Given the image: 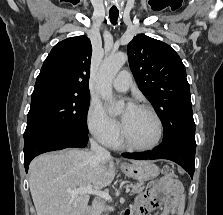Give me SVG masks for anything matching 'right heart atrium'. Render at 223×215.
<instances>
[{
	"instance_id": "1",
	"label": "right heart atrium",
	"mask_w": 223,
	"mask_h": 215,
	"mask_svg": "<svg viewBox=\"0 0 223 215\" xmlns=\"http://www.w3.org/2000/svg\"><path fill=\"white\" fill-rule=\"evenodd\" d=\"M86 124L92 135L102 143H109L119 135L117 123L111 119L98 102H91L86 115Z\"/></svg>"
}]
</instances>
